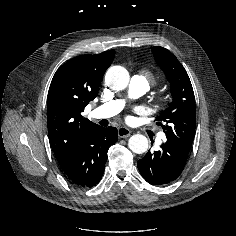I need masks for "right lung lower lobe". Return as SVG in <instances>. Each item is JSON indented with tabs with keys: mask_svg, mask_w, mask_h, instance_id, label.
<instances>
[{
	"mask_svg": "<svg viewBox=\"0 0 236 236\" xmlns=\"http://www.w3.org/2000/svg\"><path fill=\"white\" fill-rule=\"evenodd\" d=\"M117 140L118 131L111 126L97 125L88 131L72 162L63 168L67 179L79 188L96 185L103 175L108 149Z\"/></svg>",
	"mask_w": 236,
	"mask_h": 236,
	"instance_id": "98d812e1",
	"label": "right lung lower lobe"
}]
</instances>
